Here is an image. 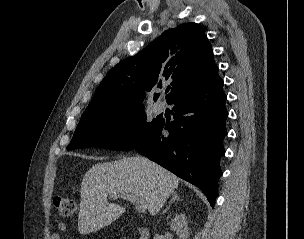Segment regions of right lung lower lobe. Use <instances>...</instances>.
<instances>
[{
  "label": "right lung lower lobe",
  "instance_id": "98d812e1",
  "mask_svg": "<svg viewBox=\"0 0 304 239\" xmlns=\"http://www.w3.org/2000/svg\"><path fill=\"white\" fill-rule=\"evenodd\" d=\"M218 70L199 84L174 96L171 123L160 120L151 135L134 149L180 178L196 185L214 206L219 161L224 155L228 112ZM168 130L169 135H163Z\"/></svg>",
  "mask_w": 304,
  "mask_h": 239
}]
</instances>
